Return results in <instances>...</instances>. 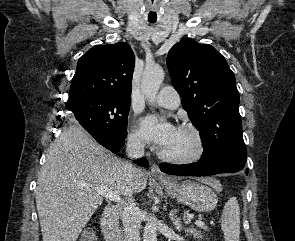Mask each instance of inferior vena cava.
<instances>
[{"label": "inferior vena cava", "mask_w": 295, "mask_h": 241, "mask_svg": "<svg viewBox=\"0 0 295 241\" xmlns=\"http://www.w3.org/2000/svg\"><path fill=\"white\" fill-rule=\"evenodd\" d=\"M144 141L136 136L128 138L126 145V153L129 158L137 159L144 155ZM123 178L127 183H132L134 177L139 172V169L133 166L129 161L122 164ZM133 193L127 194V202L119 206L120 216L124 226L125 241H141L140 238V225L141 219L139 216V208L136 206Z\"/></svg>", "instance_id": "602c4592"}]
</instances>
